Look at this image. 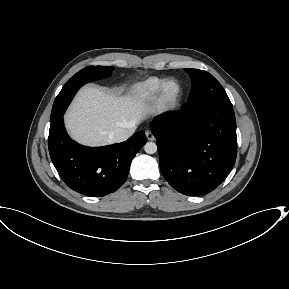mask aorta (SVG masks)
I'll return each instance as SVG.
<instances>
[{
	"label": "aorta",
	"instance_id": "obj_1",
	"mask_svg": "<svg viewBox=\"0 0 289 289\" xmlns=\"http://www.w3.org/2000/svg\"><path fill=\"white\" fill-rule=\"evenodd\" d=\"M144 150L148 154H154L157 151V145L154 142H147L144 145Z\"/></svg>",
	"mask_w": 289,
	"mask_h": 289
}]
</instances>
